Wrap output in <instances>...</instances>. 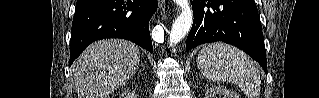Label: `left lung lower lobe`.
<instances>
[{
	"instance_id": "0a47b994",
	"label": "left lung lower lobe",
	"mask_w": 319,
	"mask_h": 98,
	"mask_svg": "<svg viewBox=\"0 0 319 98\" xmlns=\"http://www.w3.org/2000/svg\"><path fill=\"white\" fill-rule=\"evenodd\" d=\"M194 22L186 51L204 43L232 44L260 63L267 74L261 23L254 0H191Z\"/></svg>"
}]
</instances>
